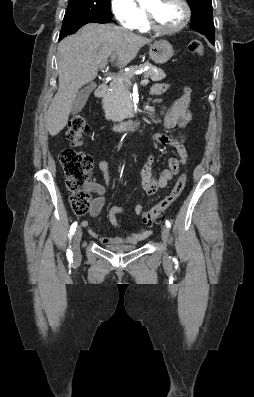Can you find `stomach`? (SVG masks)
<instances>
[{"mask_svg": "<svg viewBox=\"0 0 254 397\" xmlns=\"http://www.w3.org/2000/svg\"><path fill=\"white\" fill-rule=\"evenodd\" d=\"M174 54L172 45L166 40L155 41L150 44L149 56L156 64H164L171 59Z\"/></svg>", "mask_w": 254, "mask_h": 397, "instance_id": "1", "label": "stomach"}]
</instances>
